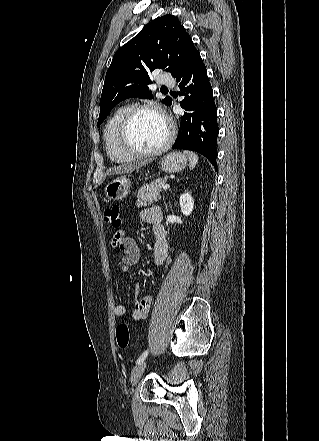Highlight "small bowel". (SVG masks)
I'll return each instance as SVG.
<instances>
[{
  "label": "small bowel",
  "instance_id": "1",
  "mask_svg": "<svg viewBox=\"0 0 319 441\" xmlns=\"http://www.w3.org/2000/svg\"><path fill=\"white\" fill-rule=\"evenodd\" d=\"M141 219L151 225L155 236L153 246V260L156 265H162L168 256V242L165 228L162 224L163 213L159 207H150L144 209L140 213ZM114 246L121 254V270L126 272L131 266H134L139 258L140 252L135 240L128 235H117L114 239ZM134 309L132 311V318L135 321H140L148 316L152 296H139L140 287L138 284L134 286ZM126 308L122 304L114 306V314L121 317L125 314Z\"/></svg>",
  "mask_w": 319,
  "mask_h": 441
}]
</instances>
